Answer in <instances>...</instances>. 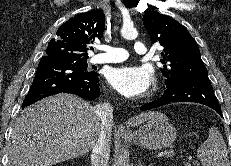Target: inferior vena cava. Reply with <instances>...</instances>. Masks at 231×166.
Instances as JSON below:
<instances>
[{"instance_id": "1", "label": "inferior vena cava", "mask_w": 231, "mask_h": 166, "mask_svg": "<svg viewBox=\"0 0 231 166\" xmlns=\"http://www.w3.org/2000/svg\"><path fill=\"white\" fill-rule=\"evenodd\" d=\"M95 114L101 121L99 137L92 149V166H108L110 140L113 121V107L110 103H101L94 107Z\"/></svg>"}]
</instances>
